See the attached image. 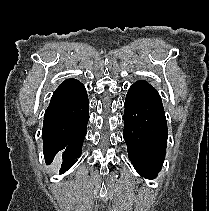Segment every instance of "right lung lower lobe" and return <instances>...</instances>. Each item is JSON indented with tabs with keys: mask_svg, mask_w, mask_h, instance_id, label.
Here are the masks:
<instances>
[{
	"mask_svg": "<svg viewBox=\"0 0 209 211\" xmlns=\"http://www.w3.org/2000/svg\"><path fill=\"white\" fill-rule=\"evenodd\" d=\"M89 101L86 89L67 79L55 90L44 114L42 139L46 164L62 158L60 174L79 158L87 132Z\"/></svg>",
	"mask_w": 209,
	"mask_h": 211,
	"instance_id": "1",
	"label": "right lung lower lobe"
}]
</instances>
